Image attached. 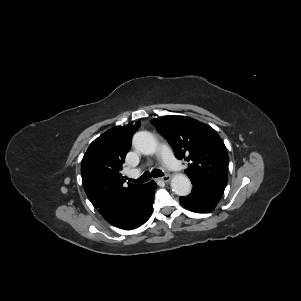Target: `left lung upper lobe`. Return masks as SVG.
Listing matches in <instances>:
<instances>
[{
    "instance_id": "left-lung-upper-lobe-1",
    "label": "left lung upper lobe",
    "mask_w": 301,
    "mask_h": 301,
    "mask_svg": "<svg viewBox=\"0 0 301 301\" xmlns=\"http://www.w3.org/2000/svg\"><path fill=\"white\" fill-rule=\"evenodd\" d=\"M151 123L171 144L178 159H185L191 181L225 190L228 155L218 133L209 125L186 116H164Z\"/></svg>"
}]
</instances>
